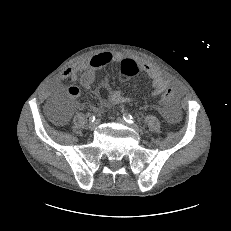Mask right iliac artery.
Listing matches in <instances>:
<instances>
[{"instance_id": "obj_1", "label": "right iliac artery", "mask_w": 231, "mask_h": 231, "mask_svg": "<svg viewBox=\"0 0 231 231\" xmlns=\"http://www.w3.org/2000/svg\"><path fill=\"white\" fill-rule=\"evenodd\" d=\"M89 120H90L91 122H94V121H95V115H92V116L89 118Z\"/></svg>"}]
</instances>
